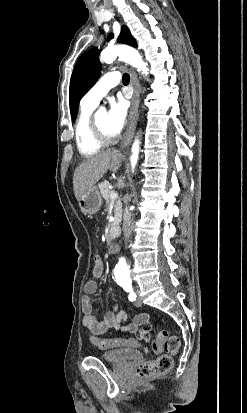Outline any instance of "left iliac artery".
<instances>
[{
  "mask_svg": "<svg viewBox=\"0 0 247 413\" xmlns=\"http://www.w3.org/2000/svg\"><path fill=\"white\" fill-rule=\"evenodd\" d=\"M122 287L126 292H129V296H128L129 300L130 301H135L137 296H136L135 292L133 291L132 285L131 284H123Z\"/></svg>",
  "mask_w": 247,
  "mask_h": 413,
  "instance_id": "44dca946",
  "label": "left iliac artery"
}]
</instances>
